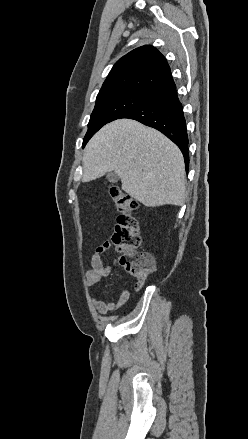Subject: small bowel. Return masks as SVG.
<instances>
[{"label": "small bowel", "instance_id": "obj_1", "mask_svg": "<svg viewBox=\"0 0 248 439\" xmlns=\"http://www.w3.org/2000/svg\"><path fill=\"white\" fill-rule=\"evenodd\" d=\"M110 247L111 245L109 242L103 243L91 254L89 258L90 269H88L85 274V281L88 288H93L102 277L109 276L117 265L116 258H113L108 265H104L102 261L103 253L109 250ZM140 288L141 286L135 285L136 292L139 291ZM129 297L130 291L128 289H124L119 297L113 302L103 301L96 298L93 294H91V302L99 314L106 315L122 308L127 303Z\"/></svg>", "mask_w": 248, "mask_h": 439}]
</instances>
